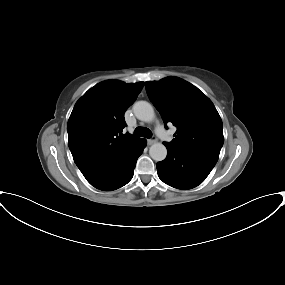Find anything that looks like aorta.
I'll return each mask as SVG.
<instances>
[{
	"mask_svg": "<svg viewBox=\"0 0 285 285\" xmlns=\"http://www.w3.org/2000/svg\"><path fill=\"white\" fill-rule=\"evenodd\" d=\"M133 112L137 119L143 122H152L155 119V112L147 101H138L133 106ZM149 155L155 161H162L167 156V149L162 143H154L149 149Z\"/></svg>",
	"mask_w": 285,
	"mask_h": 285,
	"instance_id": "1",
	"label": "aorta"
}]
</instances>
